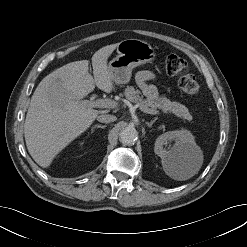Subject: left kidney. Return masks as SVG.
<instances>
[{"label": "left kidney", "mask_w": 247, "mask_h": 247, "mask_svg": "<svg viewBox=\"0 0 247 247\" xmlns=\"http://www.w3.org/2000/svg\"><path fill=\"white\" fill-rule=\"evenodd\" d=\"M171 141H175V144L166 150L164 145H167ZM154 152L162 159L163 163H167L170 161H179L182 158L190 160L199 152V147L192 133L186 129H182L160 135L156 139Z\"/></svg>", "instance_id": "1"}]
</instances>
